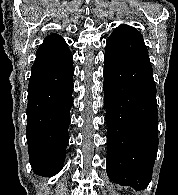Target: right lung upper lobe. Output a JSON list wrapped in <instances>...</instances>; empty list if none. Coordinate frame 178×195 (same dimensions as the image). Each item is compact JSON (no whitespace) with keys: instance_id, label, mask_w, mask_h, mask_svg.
I'll return each mask as SVG.
<instances>
[{"instance_id":"right-lung-upper-lobe-1","label":"right lung upper lobe","mask_w":178,"mask_h":195,"mask_svg":"<svg viewBox=\"0 0 178 195\" xmlns=\"http://www.w3.org/2000/svg\"><path fill=\"white\" fill-rule=\"evenodd\" d=\"M72 60L70 50L64 39L58 34H51L36 52L33 69L63 65Z\"/></svg>"}]
</instances>
